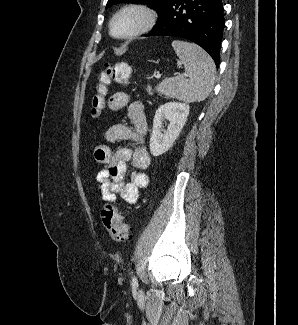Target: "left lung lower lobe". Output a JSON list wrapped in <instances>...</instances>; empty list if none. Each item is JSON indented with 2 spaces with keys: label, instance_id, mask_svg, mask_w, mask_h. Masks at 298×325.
I'll return each instance as SVG.
<instances>
[{
  "label": "left lung lower lobe",
  "instance_id": "0a47b994",
  "mask_svg": "<svg viewBox=\"0 0 298 325\" xmlns=\"http://www.w3.org/2000/svg\"><path fill=\"white\" fill-rule=\"evenodd\" d=\"M222 0H171L145 36H175L200 45L219 65L224 29Z\"/></svg>",
  "mask_w": 298,
  "mask_h": 325
}]
</instances>
